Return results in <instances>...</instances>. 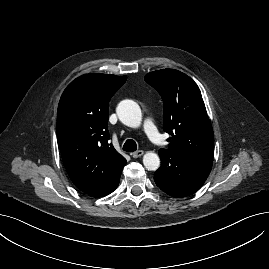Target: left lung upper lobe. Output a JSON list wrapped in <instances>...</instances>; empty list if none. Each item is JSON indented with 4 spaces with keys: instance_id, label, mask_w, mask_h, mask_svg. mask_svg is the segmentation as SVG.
Wrapping results in <instances>:
<instances>
[{
    "instance_id": "left-lung-upper-lobe-1",
    "label": "left lung upper lobe",
    "mask_w": 269,
    "mask_h": 269,
    "mask_svg": "<svg viewBox=\"0 0 269 269\" xmlns=\"http://www.w3.org/2000/svg\"><path fill=\"white\" fill-rule=\"evenodd\" d=\"M144 79L163 99V127L172 136L164 150L212 162L213 129L196 83L174 69L154 71Z\"/></svg>"
}]
</instances>
